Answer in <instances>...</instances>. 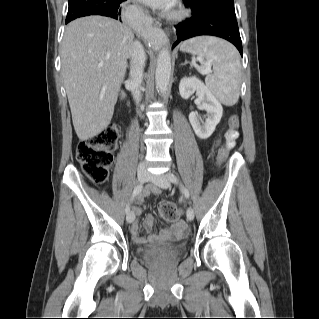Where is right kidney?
Instances as JSON below:
<instances>
[{"label":"right kidney","mask_w":319,"mask_h":319,"mask_svg":"<svg viewBox=\"0 0 319 319\" xmlns=\"http://www.w3.org/2000/svg\"><path fill=\"white\" fill-rule=\"evenodd\" d=\"M121 95H122V97H123V98L125 97V94H124V92H121Z\"/></svg>","instance_id":"right-kidney-1"}]
</instances>
